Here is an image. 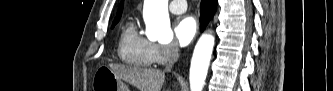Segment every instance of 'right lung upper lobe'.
I'll return each mask as SVG.
<instances>
[{
    "instance_id": "obj_1",
    "label": "right lung upper lobe",
    "mask_w": 333,
    "mask_h": 91,
    "mask_svg": "<svg viewBox=\"0 0 333 91\" xmlns=\"http://www.w3.org/2000/svg\"><path fill=\"white\" fill-rule=\"evenodd\" d=\"M122 9H123V6H122V4H121L120 7L118 8L116 18H120V17H121ZM116 18H115V19H116Z\"/></svg>"
}]
</instances>
